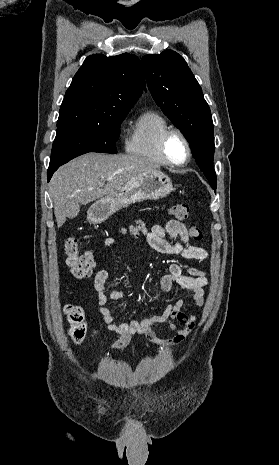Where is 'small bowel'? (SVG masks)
Instances as JSON below:
<instances>
[{
    "label": "small bowel",
    "instance_id": "c3829d8e",
    "mask_svg": "<svg viewBox=\"0 0 279 465\" xmlns=\"http://www.w3.org/2000/svg\"><path fill=\"white\" fill-rule=\"evenodd\" d=\"M168 238L172 241L168 240ZM147 242L155 251L162 254L180 255L185 259L198 261L207 260L209 257L208 251L190 243L187 227L177 220H170L165 226L154 225L147 234ZM114 244L115 241L112 238H108L104 242L106 248H110ZM186 272L187 274H184L183 268L179 264H171L168 272L161 277L160 287L162 291L169 292L176 285L190 293L194 304L201 307L205 300V287L208 284L207 276L203 271L196 268H188ZM108 276V272L104 269L97 271L94 277V289L97 294L98 310L103 322L108 330L118 336L115 343L116 351L125 349L134 334L145 335L150 341L163 348L176 349L195 329L198 317L183 311V299L169 304L161 314L140 321L132 320L116 323L112 310L105 307V303L108 298L115 301L121 300L127 294L123 290L107 285ZM162 325H169L175 331V336L170 339L159 338L155 333V328ZM96 335L97 331L94 330L91 336L95 337Z\"/></svg>",
    "mask_w": 279,
    "mask_h": 465
}]
</instances>
